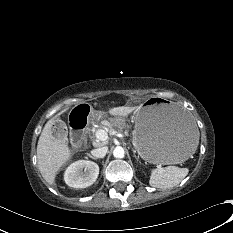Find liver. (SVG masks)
I'll use <instances>...</instances> for the list:
<instances>
[{
    "label": "liver",
    "instance_id": "liver-1",
    "mask_svg": "<svg viewBox=\"0 0 233 233\" xmlns=\"http://www.w3.org/2000/svg\"><path fill=\"white\" fill-rule=\"evenodd\" d=\"M136 107H114L109 114L118 117H125L132 113ZM66 112L64 110L62 113ZM60 116V114L58 115ZM55 118L49 120L44 126L37 145V163L39 171L49 185L55 184V178L60 168L70 160L72 153L65 140L53 136L52 126Z\"/></svg>",
    "mask_w": 233,
    "mask_h": 233
}]
</instances>
